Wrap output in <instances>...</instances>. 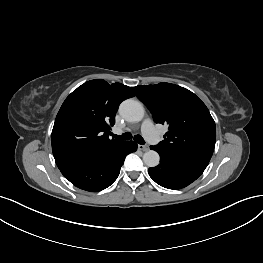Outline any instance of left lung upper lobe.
<instances>
[{"label":"left lung upper lobe","instance_id":"obj_1","mask_svg":"<svg viewBox=\"0 0 263 263\" xmlns=\"http://www.w3.org/2000/svg\"><path fill=\"white\" fill-rule=\"evenodd\" d=\"M156 123L167 124L164 140L152 146L175 160L207 167L216 126L206 105L191 91L170 83L132 87Z\"/></svg>","mask_w":263,"mask_h":263}]
</instances>
